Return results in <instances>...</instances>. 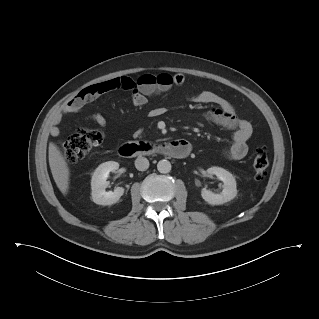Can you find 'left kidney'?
<instances>
[{
    "instance_id": "left-kidney-1",
    "label": "left kidney",
    "mask_w": 319,
    "mask_h": 319,
    "mask_svg": "<svg viewBox=\"0 0 319 319\" xmlns=\"http://www.w3.org/2000/svg\"><path fill=\"white\" fill-rule=\"evenodd\" d=\"M210 175H216L223 184L220 194H215L209 190L202 189V198L211 205H221L234 199L237 195L236 180L233 175L221 167H211L207 169Z\"/></svg>"
}]
</instances>
